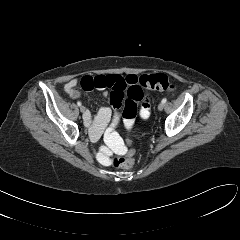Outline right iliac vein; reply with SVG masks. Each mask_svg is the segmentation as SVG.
I'll return each instance as SVG.
<instances>
[{
	"instance_id": "right-iliac-vein-1",
	"label": "right iliac vein",
	"mask_w": 240,
	"mask_h": 240,
	"mask_svg": "<svg viewBox=\"0 0 240 240\" xmlns=\"http://www.w3.org/2000/svg\"><path fill=\"white\" fill-rule=\"evenodd\" d=\"M85 110H86V108L82 105V106H80V111L82 112V113H84L85 112Z\"/></svg>"
}]
</instances>
